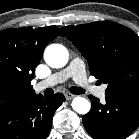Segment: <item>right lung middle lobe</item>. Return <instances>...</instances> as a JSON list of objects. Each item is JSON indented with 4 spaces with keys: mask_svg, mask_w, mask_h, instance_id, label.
<instances>
[{
    "mask_svg": "<svg viewBox=\"0 0 139 139\" xmlns=\"http://www.w3.org/2000/svg\"><path fill=\"white\" fill-rule=\"evenodd\" d=\"M16 104L15 90L6 79L0 75V109Z\"/></svg>",
    "mask_w": 139,
    "mask_h": 139,
    "instance_id": "right-lung-middle-lobe-1",
    "label": "right lung middle lobe"
}]
</instances>
